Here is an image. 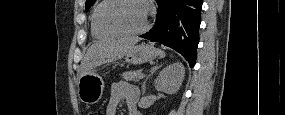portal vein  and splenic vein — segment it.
Returning <instances> with one entry per match:
<instances>
[{"label": "portal vein and splenic vein", "mask_w": 285, "mask_h": 115, "mask_svg": "<svg viewBox=\"0 0 285 115\" xmlns=\"http://www.w3.org/2000/svg\"><path fill=\"white\" fill-rule=\"evenodd\" d=\"M145 76V74L141 73L140 78H143Z\"/></svg>", "instance_id": "obj_1"}]
</instances>
